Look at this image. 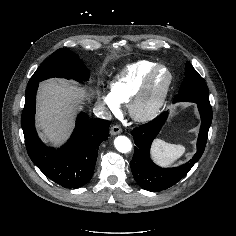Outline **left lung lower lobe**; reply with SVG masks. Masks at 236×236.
<instances>
[{"label":"left lung lower lobe","mask_w":236,"mask_h":236,"mask_svg":"<svg viewBox=\"0 0 236 236\" xmlns=\"http://www.w3.org/2000/svg\"><path fill=\"white\" fill-rule=\"evenodd\" d=\"M174 102H178L175 101ZM201 116V127L197 140V152L186 164L175 168H161L150 158V146L165 123L168 113L163 112L151 122L134 128L131 132L136 144L134 156L130 162L136 182L145 190L158 192L165 190L180 181L202 156L208 131L212 122L211 105L197 103Z\"/></svg>","instance_id":"obj_1"}]
</instances>
